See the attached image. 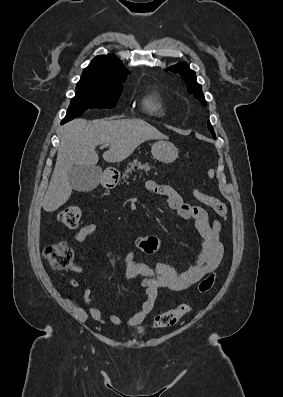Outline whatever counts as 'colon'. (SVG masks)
<instances>
[{
    "label": "colon",
    "mask_w": 283,
    "mask_h": 397,
    "mask_svg": "<svg viewBox=\"0 0 283 397\" xmlns=\"http://www.w3.org/2000/svg\"><path fill=\"white\" fill-rule=\"evenodd\" d=\"M195 198L212 208L219 216L225 218L227 215L226 205L218 198L203 193L202 191L194 190ZM82 210L77 205H70L64 208L58 215L59 221L67 227L74 228L80 223ZM44 258L48 261L50 266L55 270H66L70 267L73 260V250L65 242H59L48 245L43 251ZM217 280L216 274L212 273L202 279L198 285L197 291L200 294L208 293L212 290ZM191 309L188 302L181 303L177 307L170 309L164 313L159 314L154 319V327L165 328L176 324L183 316H185Z\"/></svg>",
    "instance_id": "obj_1"
}]
</instances>
